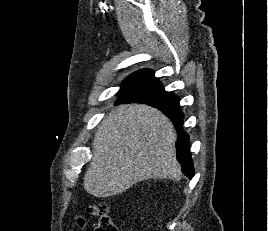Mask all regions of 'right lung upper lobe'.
<instances>
[{
  "mask_svg": "<svg viewBox=\"0 0 268 231\" xmlns=\"http://www.w3.org/2000/svg\"><path fill=\"white\" fill-rule=\"evenodd\" d=\"M150 83L161 84L159 80L156 77H154V72L152 70L144 69V70H140V71L133 73L131 76L125 79L122 84L121 89H130V88H134L140 85L150 84ZM128 102H133V103L140 102V103H144V104H148L150 106L156 107L158 109L178 107V106H174L173 104L166 103V102L139 98L134 95H131L130 93H125V94L120 95L115 105L119 103H128Z\"/></svg>",
  "mask_w": 268,
  "mask_h": 231,
  "instance_id": "cb5924a9",
  "label": "right lung upper lobe"
}]
</instances>
